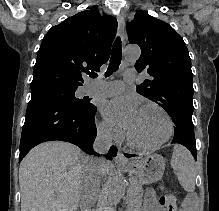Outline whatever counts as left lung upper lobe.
<instances>
[{"mask_svg":"<svg viewBox=\"0 0 219 211\" xmlns=\"http://www.w3.org/2000/svg\"><path fill=\"white\" fill-rule=\"evenodd\" d=\"M127 28L130 43L141 48L135 68L151 76L137 92L168 112L174 131L194 130L193 76L184 40L169 24L144 11H137Z\"/></svg>","mask_w":219,"mask_h":211,"instance_id":"5c2ea615","label":"left lung upper lobe"}]
</instances>
